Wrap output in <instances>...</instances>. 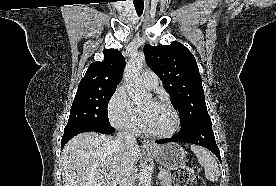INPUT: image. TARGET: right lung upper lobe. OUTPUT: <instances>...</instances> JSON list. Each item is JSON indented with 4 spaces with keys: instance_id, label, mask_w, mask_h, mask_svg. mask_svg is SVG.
<instances>
[{
    "instance_id": "right-lung-upper-lobe-1",
    "label": "right lung upper lobe",
    "mask_w": 276,
    "mask_h": 186,
    "mask_svg": "<svg viewBox=\"0 0 276 186\" xmlns=\"http://www.w3.org/2000/svg\"><path fill=\"white\" fill-rule=\"evenodd\" d=\"M104 60L93 62L79 83L81 89L116 88L125 66V59L116 49H104Z\"/></svg>"
}]
</instances>
